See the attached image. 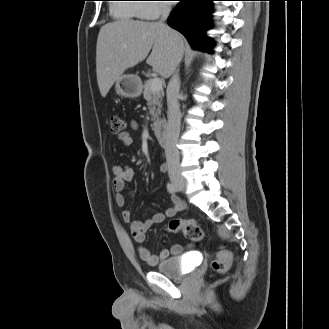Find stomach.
Listing matches in <instances>:
<instances>
[{"instance_id": "stomach-1", "label": "stomach", "mask_w": 329, "mask_h": 329, "mask_svg": "<svg viewBox=\"0 0 329 329\" xmlns=\"http://www.w3.org/2000/svg\"><path fill=\"white\" fill-rule=\"evenodd\" d=\"M115 90L122 97L136 98L142 93V82L137 75H123L116 81Z\"/></svg>"}]
</instances>
